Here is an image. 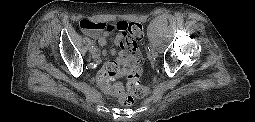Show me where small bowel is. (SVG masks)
<instances>
[{
	"instance_id": "c3829d8e",
	"label": "small bowel",
	"mask_w": 255,
	"mask_h": 122,
	"mask_svg": "<svg viewBox=\"0 0 255 122\" xmlns=\"http://www.w3.org/2000/svg\"><path fill=\"white\" fill-rule=\"evenodd\" d=\"M111 33L109 32H96L88 33L89 37L97 40L100 46H105L107 37ZM114 44L120 47V51L117 53L115 49L111 50L113 55L117 54L115 62L123 66H139L141 64V57L139 52V44L133 38H129L125 33L120 32L115 38ZM107 50L102 51V55H107ZM105 89V88H104ZM115 95V93H113Z\"/></svg>"
}]
</instances>
